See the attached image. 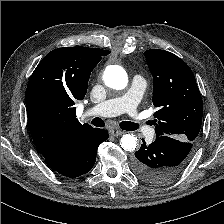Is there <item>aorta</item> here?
I'll return each instance as SVG.
<instances>
[{
    "instance_id": "aorta-1",
    "label": "aorta",
    "mask_w": 224,
    "mask_h": 224,
    "mask_svg": "<svg viewBox=\"0 0 224 224\" xmlns=\"http://www.w3.org/2000/svg\"><path fill=\"white\" fill-rule=\"evenodd\" d=\"M103 82L110 88L122 90L128 83V76L123 67L119 65L107 66L103 73ZM137 137L133 134H125L120 140V145L125 151H133L137 147Z\"/></svg>"
}]
</instances>
